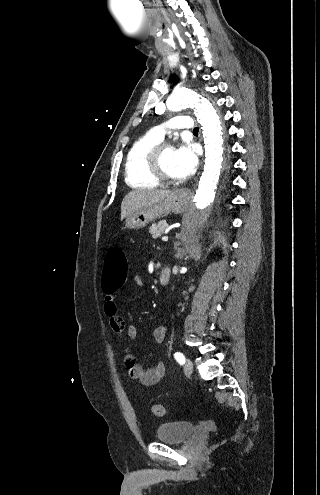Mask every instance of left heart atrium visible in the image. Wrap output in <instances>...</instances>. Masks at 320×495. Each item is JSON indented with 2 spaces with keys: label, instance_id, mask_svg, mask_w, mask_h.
I'll use <instances>...</instances> for the list:
<instances>
[{
  "label": "left heart atrium",
  "instance_id": "left-heart-atrium-1",
  "mask_svg": "<svg viewBox=\"0 0 320 495\" xmlns=\"http://www.w3.org/2000/svg\"><path fill=\"white\" fill-rule=\"evenodd\" d=\"M197 162L196 152L192 145L185 144L175 149L174 166L177 177L186 178L192 175L197 167Z\"/></svg>",
  "mask_w": 320,
  "mask_h": 495
}]
</instances>
